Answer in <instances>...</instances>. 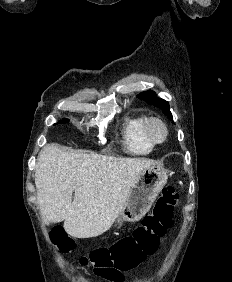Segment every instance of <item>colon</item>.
<instances>
[{
	"label": "colon",
	"instance_id": "5ec220e1",
	"mask_svg": "<svg viewBox=\"0 0 232 282\" xmlns=\"http://www.w3.org/2000/svg\"><path fill=\"white\" fill-rule=\"evenodd\" d=\"M178 198L179 195L173 186L163 187L152 212L143 218L131 235L119 239L109 247L95 249L89 255L80 257L78 264L84 268H92L99 276L137 267L157 250L160 238L171 226ZM50 236L60 252L66 253L73 248V240L63 228H54Z\"/></svg>",
	"mask_w": 232,
	"mask_h": 282
}]
</instances>
